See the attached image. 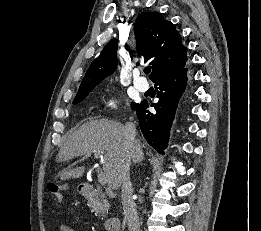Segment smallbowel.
<instances>
[{"label": "small bowel", "instance_id": "c3829d8e", "mask_svg": "<svg viewBox=\"0 0 261 231\" xmlns=\"http://www.w3.org/2000/svg\"><path fill=\"white\" fill-rule=\"evenodd\" d=\"M60 231H75V230L70 225H61L60 226Z\"/></svg>", "mask_w": 261, "mask_h": 231}]
</instances>
